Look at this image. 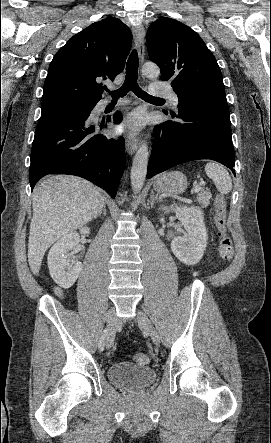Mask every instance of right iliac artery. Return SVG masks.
Here are the masks:
<instances>
[{"mask_svg": "<svg viewBox=\"0 0 271 443\" xmlns=\"http://www.w3.org/2000/svg\"><path fill=\"white\" fill-rule=\"evenodd\" d=\"M108 331H109V329L106 328V329L103 331V333L101 334V337H100V340H99V345H98V348H99L100 351H103V350H104L105 339H106V337H107V335H108Z\"/></svg>", "mask_w": 271, "mask_h": 443, "instance_id": "right-iliac-artery-1", "label": "right iliac artery"}]
</instances>
